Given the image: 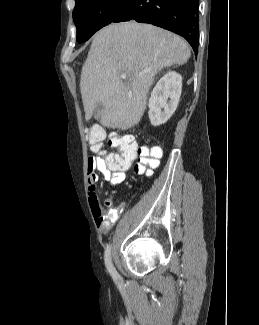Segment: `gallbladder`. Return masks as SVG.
<instances>
[{"label":"gallbladder","mask_w":259,"mask_h":325,"mask_svg":"<svg viewBox=\"0 0 259 325\" xmlns=\"http://www.w3.org/2000/svg\"><path fill=\"white\" fill-rule=\"evenodd\" d=\"M102 109V106L97 104L94 110V114H97Z\"/></svg>","instance_id":"1"}]
</instances>
